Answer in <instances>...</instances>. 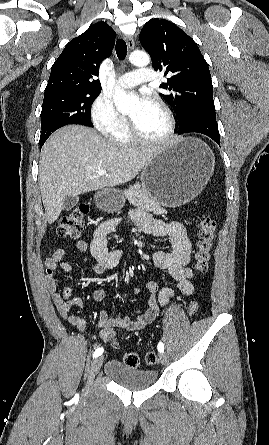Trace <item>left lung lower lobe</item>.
Here are the masks:
<instances>
[{
	"label": "left lung lower lobe",
	"instance_id": "0a47b994",
	"mask_svg": "<svg viewBox=\"0 0 269 445\" xmlns=\"http://www.w3.org/2000/svg\"><path fill=\"white\" fill-rule=\"evenodd\" d=\"M196 132L209 136L220 145V136L216 116H199L180 128L178 134Z\"/></svg>",
	"mask_w": 269,
	"mask_h": 445
}]
</instances>
